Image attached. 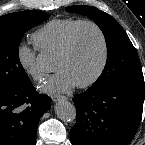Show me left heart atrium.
<instances>
[{"instance_id": "left-heart-atrium-1", "label": "left heart atrium", "mask_w": 145, "mask_h": 145, "mask_svg": "<svg viewBox=\"0 0 145 145\" xmlns=\"http://www.w3.org/2000/svg\"><path fill=\"white\" fill-rule=\"evenodd\" d=\"M76 85V82L67 72L60 70L47 80L43 90L50 93H60L66 92Z\"/></svg>"}]
</instances>
